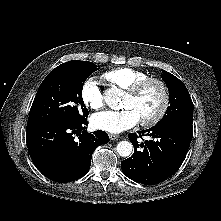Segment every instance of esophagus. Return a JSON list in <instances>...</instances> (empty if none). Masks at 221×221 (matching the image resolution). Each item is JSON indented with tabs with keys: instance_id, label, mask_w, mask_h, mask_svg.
Instances as JSON below:
<instances>
[{
	"instance_id": "obj_1",
	"label": "esophagus",
	"mask_w": 221,
	"mask_h": 221,
	"mask_svg": "<svg viewBox=\"0 0 221 221\" xmlns=\"http://www.w3.org/2000/svg\"><path fill=\"white\" fill-rule=\"evenodd\" d=\"M109 138H110V140H117V139L119 138V136L116 135V134L110 133V134H109Z\"/></svg>"
}]
</instances>
